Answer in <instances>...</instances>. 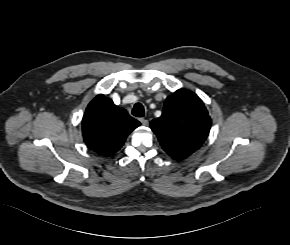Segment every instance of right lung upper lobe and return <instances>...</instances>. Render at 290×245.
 Segmentation results:
<instances>
[{
  "mask_svg": "<svg viewBox=\"0 0 290 245\" xmlns=\"http://www.w3.org/2000/svg\"><path fill=\"white\" fill-rule=\"evenodd\" d=\"M140 122L117 107L104 95H97L88 105L82 121L83 138L95 152L110 156L118 151Z\"/></svg>",
  "mask_w": 290,
  "mask_h": 245,
  "instance_id": "obj_1",
  "label": "right lung upper lobe"
}]
</instances>
